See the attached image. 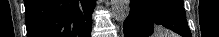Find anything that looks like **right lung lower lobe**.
Segmentation results:
<instances>
[{"label":"right lung lower lobe","instance_id":"98d812e1","mask_svg":"<svg viewBox=\"0 0 219 37\" xmlns=\"http://www.w3.org/2000/svg\"><path fill=\"white\" fill-rule=\"evenodd\" d=\"M96 0H24L27 37H91Z\"/></svg>","mask_w":219,"mask_h":37}]
</instances>
